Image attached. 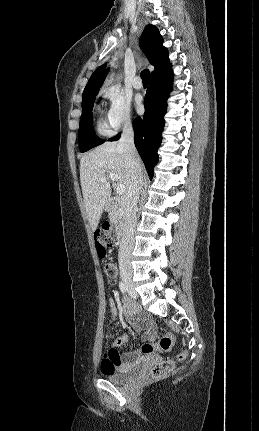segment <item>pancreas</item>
<instances>
[{"mask_svg":"<svg viewBox=\"0 0 259 431\" xmlns=\"http://www.w3.org/2000/svg\"><path fill=\"white\" fill-rule=\"evenodd\" d=\"M109 218L111 222L114 224L116 231H118L122 222V211L120 207L114 206L112 209H110Z\"/></svg>","mask_w":259,"mask_h":431,"instance_id":"pancreas-1","label":"pancreas"}]
</instances>
